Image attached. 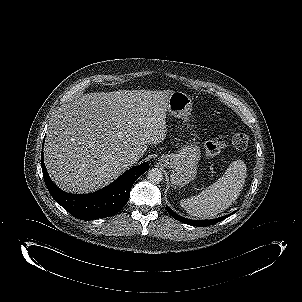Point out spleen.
<instances>
[{
    "instance_id": "obj_1",
    "label": "spleen",
    "mask_w": 302,
    "mask_h": 302,
    "mask_svg": "<svg viewBox=\"0 0 302 302\" xmlns=\"http://www.w3.org/2000/svg\"><path fill=\"white\" fill-rule=\"evenodd\" d=\"M246 178V165L242 160L233 161L215 183L198 195L180 201L181 207L197 218H214L229 208L239 197Z\"/></svg>"
}]
</instances>
